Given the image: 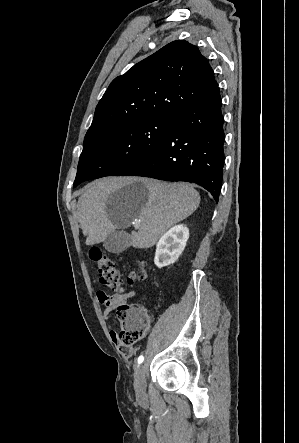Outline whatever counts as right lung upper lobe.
<instances>
[{"label":"right lung upper lobe","mask_w":299,"mask_h":443,"mask_svg":"<svg viewBox=\"0 0 299 443\" xmlns=\"http://www.w3.org/2000/svg\"><path fill=\"white\" fill-rule=\"evenodd\" d=\"M216 86L213 70L198 48L173 41L111 82L85 138L138 119L171 117Z\"/></svg>","instance_id":"1"}]
</instances>
